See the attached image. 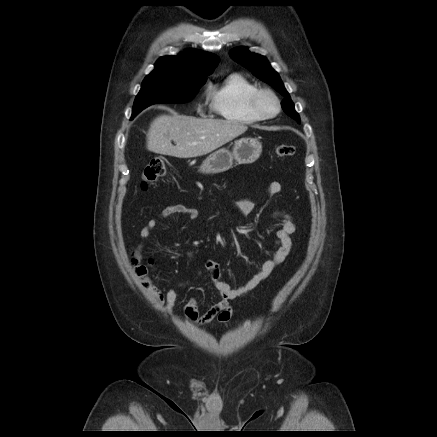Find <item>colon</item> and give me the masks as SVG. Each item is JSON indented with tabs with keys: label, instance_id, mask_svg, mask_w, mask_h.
<instances>
[{
	"label": "colon",
	"instance_id": "obj_1",
	"mask_svg": "<svg viewBox=\"0 0 437 437\" xmlns=\"http://www.w3.org/2000/svg\"><path fill=\"white\" fill-rule=\"evenodd\" d=\"M295 147L292 145H279L276 148V155L280 158L293 156ZM167 162L163 157H154L145 166L142 176V187L144 189L156 183L166 173ZM136 274L141 278L143 285L149 286V269L144 264H139L135 259Z\"/></svg>",
	"mask_w": 437,
	"mask_h": 437
}]
</instances>
